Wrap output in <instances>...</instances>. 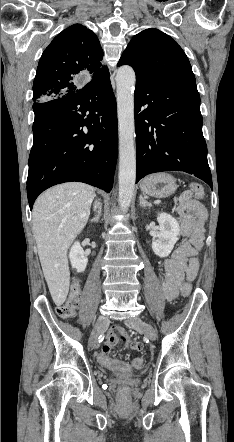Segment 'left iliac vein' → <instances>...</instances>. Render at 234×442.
<instances>
[{"mask_svg": "<svg viewBox=\"0 0 234 442\" xmlns=\"http://www.w3.org/2000/svg\"><path fill=\"white\" fill-rule=\"evenodd\" d=\"M125 324L128 327L133 328L137 331L144 332L145 335L152 341H155L157 339V333L154 327L148 323H145L137 316L127 319L125 321Z\"/></svg>", "mask_w": 234, "mask_h": 442, "instance_id": "1", "label": "left iliac vein"}]
</instances>
